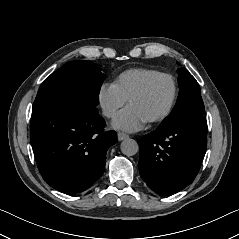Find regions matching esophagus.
Wrapping results in <instances>:
<instances>
[{"instance_id":"obj_1","label":"esophagus","mask_w":239,"mask_h":239,"mask_svg":"<svg viewBox=\"0 0 239 239\" xmlns=\"http://www.w3.org/2000/svg\"><path fill=\"white\" fill-rule=\"evenodd\" d=\"M117 137H118L119 141H122V140L128 138L129 136L123 132H118Z\"/></svg>"}]
</instances>
